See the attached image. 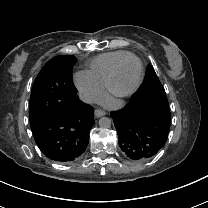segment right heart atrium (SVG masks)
<instances>
[{
    "mask_svg": "<svg viewBox=\"0 0 208 208\" xmlns=\"http://www.w3.org/2000/svg\"><path fill=\"white\" fill-rule=\"evenodd\" d=\"M74 80L78 85L83 97L90 102H100L103 100L104 92L102 87L96 84L88 73L78 72L74 75Z\"/></svg>",
    "mask_w": 208,
    "mask_h": 208,
    "instance_id": "obj_1",
    "label": "right heart atrium"
}]
</instances>
